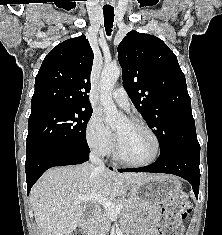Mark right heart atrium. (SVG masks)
Wrapping results in <instances>:
<instances>
[{
    "label": "right heart atrium",
    "instance_id": "right-heart-atrium-1",
    "mask_svg": "<svg viewBox=\"0 0 222 235\" xmlns=\"http://www.w3.org/2000/svg\"><path fill=\"white\" fill-rule=\"evenodd\" d=\"M86 140L98 155H108L114 148V136L99 113H93L87 123Z\"/></svg>",
    "mask_w": 222,
    "mask_h": 235
}]
</instances>
